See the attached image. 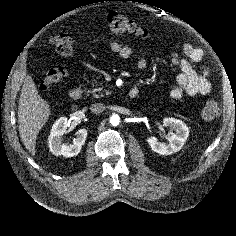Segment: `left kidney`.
<instances>
[{"label":"left kidney","mask_w":236,"mask_h":236,"mask_svg":"<svg viewBox=\"0 0 236 236\" xmlns=\"http://www.w3.org/2000/svg\"><path fill=\"white\" fill-rule=\"evenodd\" d=\"M163 126L170 127L171 131L174 130L175 133L170 132L168 134L169 143L158 142L157 138L154 136L148 137L147 142L151 149L160 155H171L178 152L183 147L187 138L189 137V128L187 125L179 119L173 117L164 118Z\"/></svg>","instance_id":"1"}]
</instances>
